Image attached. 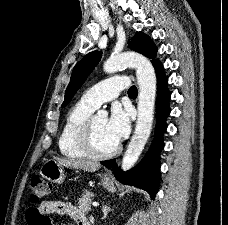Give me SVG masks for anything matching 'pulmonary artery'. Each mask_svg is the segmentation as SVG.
Returning <instances> with one entry per match:
<instances>
[{"label": "pulmonary artery", "mask_w": 228, "mask_h": 225, "mask_svg": "<svg viewBox=\"0 0 228 225\" xmlns=\"http://www.w3.org/2000/svg\"><path fill=\"white\" fill-rule=\"evenodd\" d=\"M119 79L127 80L128 76L122 75L111 78L109 81H100V85H94L93 89L84 92L80 100L97 109L102 103L116 98L121 90H126L125 81H115Z\"/></svg>", "instance_id": "1"}]
</instances>
